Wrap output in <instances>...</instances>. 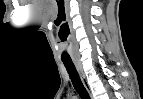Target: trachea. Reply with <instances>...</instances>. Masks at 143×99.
I'll list each match as a JSON object with an SVG mask.
<instances>
[{"label":"trachea","mask_w":143,"mask_h":99,"mask_svg":"<svg viewBox=\"0 0 143 99\" xmlns=\"http://www.w3.org/2000/svg\"><path fill=\"white\" fill-rule=\"evenodd\" d=\"M63 63L67 69V72H68L69 77L72 81V84H73L75 90L77 91V93L79 94V96L81 97V99H90V96H89L86 88L84 87V85L75 69L73 62L71 60H63Z\"/></svg>","instance_id":"trachea-1"}]
</instances>
